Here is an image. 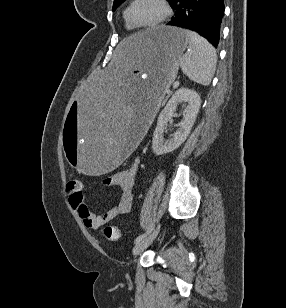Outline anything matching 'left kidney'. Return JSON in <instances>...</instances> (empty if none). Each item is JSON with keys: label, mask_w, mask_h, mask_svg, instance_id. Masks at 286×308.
Here are the masks:
<instances>
[{"label": "left kidney", "mask_w": 286, "mask_h": 308, "mask_svg": "<svg viewBox=\"0 0 286 308\" xmlns=\"http://www.w3.org/2000/svg\"><path fill=\"white\" fill-rule=\"evenodd\" d=\"M181 102L188 103V110L183 120L179 123V129L174 133L173 138L165 140L163 133L166 130L167 122L171 119L175 109ZM200 106L201 98L194 90L180 88L172 95L158 117L157 126L153 134L152 149L156 155L172 152L187 139L195 123Z\"/></svg>", "instance_id": "5707ae66"}]
</instances>
